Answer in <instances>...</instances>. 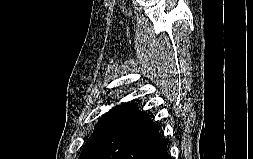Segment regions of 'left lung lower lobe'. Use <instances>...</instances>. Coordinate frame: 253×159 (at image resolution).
Wrapping results in <instances>:
<instances>
[{"label": "left lung lower lobe", "instance_id": "1", "mask_svg": "<svg viewBox=\"0 0 253 159\" xmlns=\"http://www.w3.org/2000/svg\"><path fill=\"white\" fill-rule=\"evenodd\" d=\"M167 144L150 116L132 103L105 126L84 159H172Z\"/></svg>", "mask_w": 253, "mask_h": 159}]
</instances>
